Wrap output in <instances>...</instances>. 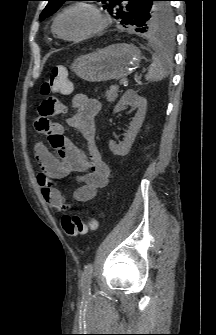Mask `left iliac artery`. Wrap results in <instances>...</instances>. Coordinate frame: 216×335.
Returning a JSON list of instances; mask_svg holds the SVG:
<instances>
[{"mask_svg": "<svg viewBox=\"0 0 216 335\" xmlns=\"http://www.w3.org/2000/svg\"><path fill=\"white\" fill-rule=\"evenodd\" d=\"M92 272H93V265L92 263H89L85 266L82 275V291L85 297H88L91 294L90 284H91Z\"/></svg>", "mask_w": 216, "mask_h": 335, "instance_id": "44dca946", "label": "left iliac artery"}]
</instances>
